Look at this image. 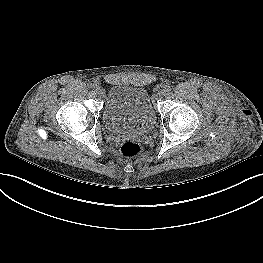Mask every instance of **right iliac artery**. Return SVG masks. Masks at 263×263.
Segmentation results:
<instances>
[{
	"mask_svg": "<svg viewBox=\"0 0 263 263\" xmlns=\"http://www.w3.org/2000/svg\"><path fill=\"white\" fill-rule=\"evenodd\" d=\"M93 90H96L98 88V85L96 83H91L90 86Z\"/></svg>",
	"mask_w": 263,
	"mask_h": 263,
	"instance_id": "82829eb1",
	"label": "right iliac artery"
}]
</instances>
